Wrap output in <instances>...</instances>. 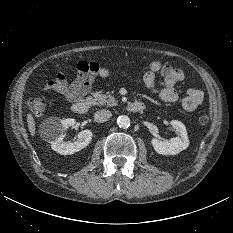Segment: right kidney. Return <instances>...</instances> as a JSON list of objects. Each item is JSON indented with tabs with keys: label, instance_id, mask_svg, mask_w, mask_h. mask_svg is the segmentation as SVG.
I'll return each mask as SVG.
<instances>
[{
	"label": "right kidney",
	"instance_id": "right-kidney-1",
	"mask_svg": "<svg viewBox=\"0 0 233 233\" xmlns=\"http://www.w3.org/2000/svg\"><path fill=\"white\" fill-rule=\"evenodd\" d=\"M76 123L75 119H59L50 117L42 124V134L46 141L51 143V148L62 154L71 155L85 148L92 139L91 130L85 129L79 132L77 141L64 142V132Z\"/></svg>",
	"mask_w": 233,
	"mask_h": 233
}]
</instances>
